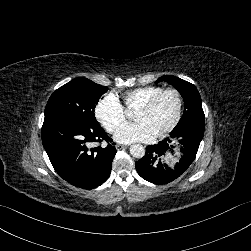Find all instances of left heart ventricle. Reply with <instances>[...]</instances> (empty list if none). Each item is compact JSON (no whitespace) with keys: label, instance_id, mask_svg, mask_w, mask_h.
<instances>
[{"label":"left heart ventricle","instance_id":"1","mask_svg":"<svg viewBox=\"0 0 251 251\" xmlns=\"http://www.w3.org/2000/svg\"><path fill=\"white\" fill-rule=\"evenodd\" d=\"M178 111V100L174 94L162 97L152 109L138 108L135 113L136 120L149 119L160 131L169 125L176 117Z\"/></svg>","mask_w":251,"mask_h":251}]
</instances>
